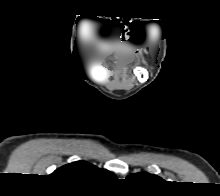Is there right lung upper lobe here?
<instances>
[{
  "label": "right lung upper lobe",
  "mask_w": 220,
  "mask_h": 196,
  "mask_svg": "<svg viewBox=\"0 0 220 196\" xmlns=\"http://www.w3.org/2000/svg\"><path fill=\"white\" fill-rule=\"evenodd\" d=\"M52 176L68 178L78 183L92 184L99 180L114 178L108 170L100 169L86 161H77L56 169Z\"/></svg>",
  "instance_id": "cb5924a9"
}]
</instances>
